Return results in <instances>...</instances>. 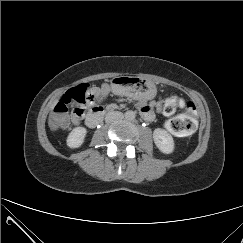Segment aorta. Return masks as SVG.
Listing matches in <instances>:
<instances>
[{"label": "aorta", "mask_w": 243, "mask_h": 243, "mask_svg": "<svg viewBox=\"0 0 243 243\" xmlns=\"http://www.w3.org/2000/svg\"><path fill=\"white\" fill-rule=\"evenodd\" d=\"M135 116H136V112L135 111H132V110H129L125 113V118L127 120H134L135 119Z\"/></svg>", "instance_id": "obj_1"}]
</instances>
